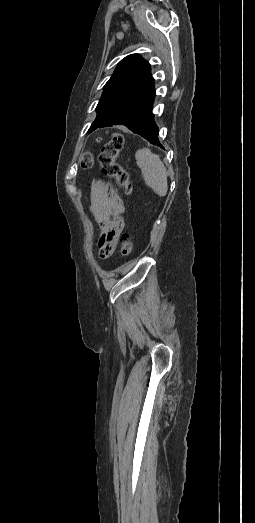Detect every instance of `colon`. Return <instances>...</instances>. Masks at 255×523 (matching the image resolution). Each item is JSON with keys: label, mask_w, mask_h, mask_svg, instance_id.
Here are the masks:
<instances>
[{"label": "colon", "mask_w": 255, "mask_h": 523, "mask_svg": "<svg viewBox=\"0 0 255 523\" xmlns=\"http://www.w3.org/2000/svg\"><path fill=\"white\" fill-rule=\"evenodd\" d=\"M124 145V138L120 133H114L110 140L102 147L98 156V161L102 171L107 176L113 178L116 184L121 187L126 193L131 190L130 175L119 163V154ZM94 164L93 156L90 152H84L81 157V166L84 169H90ZM134 250V242L129 234H124L121 237V245L119 254L127 257L132 254Z\"/></svg>", "instance_id": "colon-1"}]
</instances>
